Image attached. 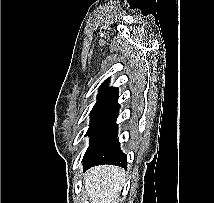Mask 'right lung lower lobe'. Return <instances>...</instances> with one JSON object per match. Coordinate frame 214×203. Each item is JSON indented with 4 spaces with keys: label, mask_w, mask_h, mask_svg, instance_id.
<instances>
[{
    "label": "right lung lower lobe",
    "mask_w": 214,
    "mask_h": 203,
    "mask_svg": "<svg viewBox=\"0 0 214 203\" xmlns=\"http://www.w3.org/2000/svg\"><path fill=\"white\" fill-rule=\"evenodd\" d=\"M119 108L120 106L115 100L88 133L91 142L83 158L84 170L102 164L126 168L127 156L121 151L117 139L116 118Z\"/></svg>",
    "instance_id": "98d812e1"
}]
</instances>
